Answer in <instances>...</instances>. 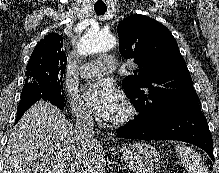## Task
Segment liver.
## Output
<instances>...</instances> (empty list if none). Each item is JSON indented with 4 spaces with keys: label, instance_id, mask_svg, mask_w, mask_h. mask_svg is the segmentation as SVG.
Returning a JSON list of instances; mask_svg holds the SVG:
<instances>
[{
    "label": "liver",
    "instance_id": "1",
    "mask_svg": "<svg viewBox=\"0 0 219 173\" xmlns=\"http://www.w3.org/2000/svg\"><path fill=\"white\" fill-rule=\"evenodd\" d=\"M2 173H103L106 160L100 143L81 146L71 123L50 103L39 100L11 133Z\"/></svg>",
    "mask_w": 219,
    "mask_h": 173
}]
</instances>
